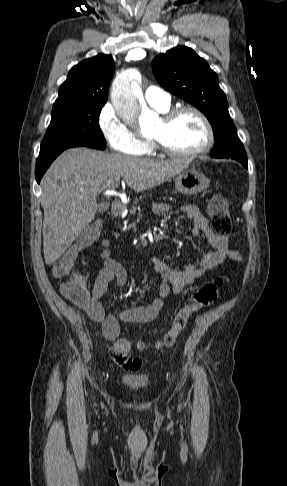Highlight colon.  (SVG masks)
<instances>
[{"mask_svg": "<svg viewBox=\"0 0 287 486\" xmlns=\"http://www.w3.org/2000/svg\"><path fill=\"white\" fill-rule=\"evenodd\" d=\"M208 212L213 231L223 237L230 236L232 220L227 200L221 195H215L210 201ZM100 228L101 223L99 221L88 226L73 247L54 263L52 274L55 278L62 279L71 275L78 252L96 240L100 233ZM223 285L224 279L217 278L213 282L202 285L190 295L184 304L174 312L171 325L163 335L159 345L163 347L173 345L185 329L191 316L217 300ZM61 292L72 303L81 307H85L90 299L88 281L80 273L72 274L70 279L62 284ZM131 345L128 339L118 338L110 347L109 354L113 362L119 367L130 371H138L143 367V361L130 355ZM138 346L142 347L141 344Z\"/></svg>", "mask_w": 287, "mask_h": 486, "instance_id": "1", "label": "colon"}]
</instances>
